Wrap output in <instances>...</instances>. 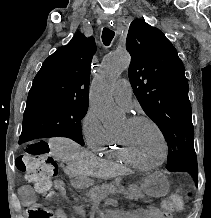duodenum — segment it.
Wrapping results in <instances>:
<instances>
[{"label":"duodenum","instance_id":"1","mask_svg":"<svg viewBox=\"0 0 211 218\" xmlns=\"http://www.w3.org/2000/svg\"><path fill=\"white\" fill-rule=\"evenodd\" d=\"M70 181L73 186H79L83 177L81 174L73 172L70 175ZM100 215L103 218H138V210L106 209L102 210Z\"/></svg>","mask_w":211,"mask_h":218}]
</instances>
